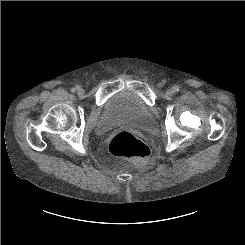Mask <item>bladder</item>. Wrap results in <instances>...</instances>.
<instances>
[{
  "instance_id": "31cf9c89",
  "label": "bladder",
  "mask_w": 245,
  "mask_h": 245,
  "mask_svg": "<svg viewBox=\"0 0 245 245\" xmlns=\"http://www.w3.org/2000/svg\"><path fill=\"white\" fill-rule=\"evenodd\" d=\"M120 122L146 129H154L158 124L146 104L128 91L114 94L105 101L100 117L94 126V132L104 134Z\"/></svg>"
}]
</instances>
